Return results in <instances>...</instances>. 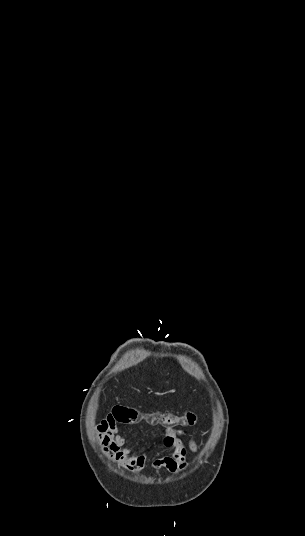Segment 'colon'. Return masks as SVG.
I'll return each instance as SVG.
<instances>
[{"label": "colon", "instance_id": "1", "mask_svg": "<svg viewBox=\"0 0 305 536\" xmlns=\"http://www.w3.org/2000/svg\"><path fill=\"white\" fill-rule=\"evenodd\" d=\"M117 415L118 423L123 425H129L137 423L141 418L144 417V414L134 407H118L115 411ZM152 422H161L167 426H186L192 427L196 423V412L194 410H187L183 415H175L170 413H165L160 415L157 419L153 416H149Z\"/></svg>", "mask_w": 305, "mask_h": 536}]
</instances>
